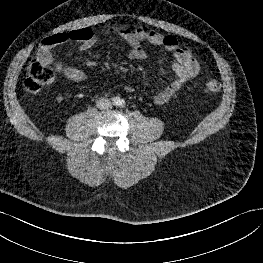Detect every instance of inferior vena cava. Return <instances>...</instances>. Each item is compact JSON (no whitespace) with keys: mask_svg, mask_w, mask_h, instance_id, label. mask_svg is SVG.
Instances as JSON below:
<instances>
[{"mask_svg":"<svg viewBox=\"0 0 263 263\" xmlns=\"http://www.w3.org/2000/svg\"><path fill=\"white\" fill-rule=\"evenodd\" d=\"M96 106L99 109H107L111 106V101L108 98L101 97L97 100Z\"/></svg>","mask_w":263,"mask_h":263,"instance_id":"602c4592","label":"inferior vena cava"}]
</instances>
